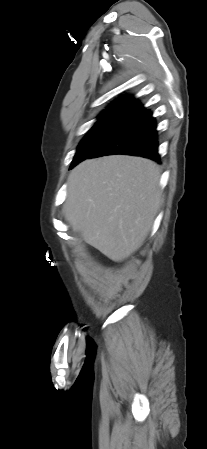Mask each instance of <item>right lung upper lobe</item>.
I'll return each instance as SVG.
<instances>
[{
  "label": "right lung upper lobe",
  "mask_w": 207,
  "mask_h": 449,
  "mask_svg": "<svg viewBox=\"0 0 207 449\" xmlns=\"http://www.w3.org/2000/svg\"><path fill=\"white\" fill-rule=\"evenodd\" d=\"M143 110L144 108L135 99L124 97L111 104L103 113L127 112L139 114Z\"/></svg>",
  "instance_id": "1"
}]
</instances>
